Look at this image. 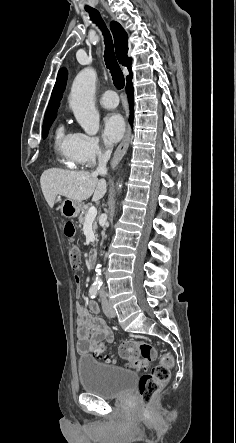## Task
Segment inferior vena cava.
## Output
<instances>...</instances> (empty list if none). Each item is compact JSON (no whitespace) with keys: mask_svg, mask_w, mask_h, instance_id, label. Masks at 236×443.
<instances>
[{"mask_svg":"<svg viewBox=\"0 0 236 443\" xmlns=\"http://www.w3.org/2000/svg\"><path fill=\"white\" fill-rule=\"evenodd\" d=\"M104 143L107 146V149L105 150V152L98 153V167L95 171V174L105 175L107 173L106 165L111 156L112 145L106 139L104 140ZM100 297L103 304L107 303L106 294L103 289L100 291Z\"/></svg>","mask_w":236,"mask_h":443,"instance_id":"1","label":"inferior vena cava"}]
</instances>
